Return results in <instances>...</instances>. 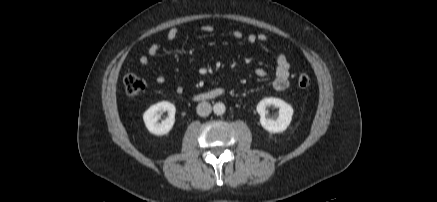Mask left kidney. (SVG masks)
Segmentation results:
<instances>
[{
  "instance_id": "left-kidney-1",
  "label": "left kidney",
  "mask_w": 437,
  "mask_h": 202,
  "mask_svg": "<svg viewBox=\"0 0 437 202\" xmlns=\"http://www.w3.org/2000/svg\"><path fill=\"white\" fill-rule=\"evenodd\" d=\"M270 106L279 109V115L277 118L265 117L267 114L266 108ZM256 109L260 115V123L262 127L270 133H280L285 131L293 116L292 106L285 101L274 97L264 98L258 103Z\"/></svg>"
}]
</instances>
